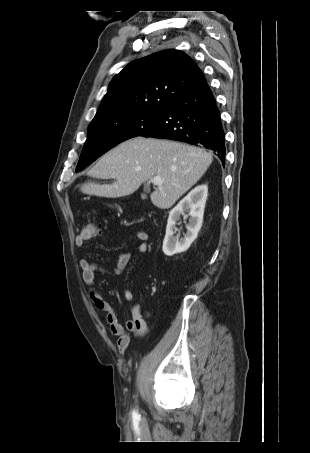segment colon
Wrapping results in <instances>:
<instances>
[{"mask_svg":"<svg viewBox=\"0 0 310 453\" xmlns=\"http://www.w3.org/2000/svg\"><path fill=\"white\" fill-rule=\"evenodd\" d=\"M99 232V226L95 222H88L82 229V235L85 238H91Z\"/></svg>","mask_w":310,"mask_h":453,"instance_id":"obj_1","label":"colon"}]
</instances>
